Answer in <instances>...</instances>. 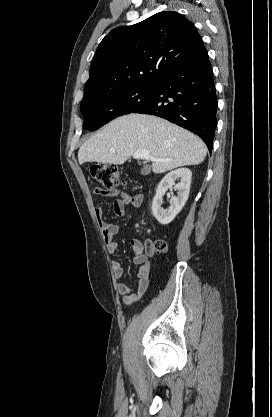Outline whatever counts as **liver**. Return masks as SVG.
Here are the masks:
<instances>
[{"label": "liver", "instance_id": "liver-1", "mask_svg": "<svg viewBox=\"0 0 272 417\" xmlns=\"http://www.w3.org/2000/svg\"><path fill=\"white\" fill-rule=\"evenodd\" d=\"M138 150L160 159L152 163L157 174L198 165L207 154L205 144L193 133L156 116L132 113L116 118L88 139L78 151V161L80 165H122Z\"/></svg>", "mask_w": 272, "mask_h": 417}]
</instances>
